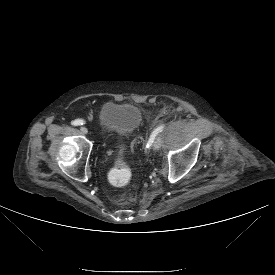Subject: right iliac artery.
Instances as JSON below:
<instances>
[{"instance_id": "obj_1", "label": "right iliac artery", "mask_w": 275, "mask_h": 275, "mask_svg": "<svg viewBox=\"0 0 275 275\" xmlns=\"http://www.w3.org/2000/svg\"><path fill=\"white\" fill-rule=\"evenodd\" d=\"M83 124H84V121L81 119H76V120L72 121L73 126H78V125H83Z\"/></svg>"}]
</instances>
